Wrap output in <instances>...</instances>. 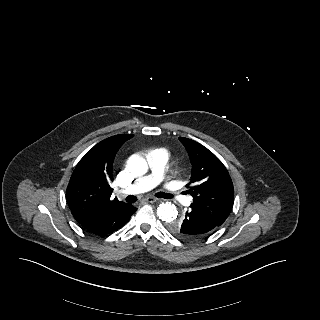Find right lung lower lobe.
<instances>
[{
	"label": "right lung lower lobe",
	"mask_w": 320,
	"mask_h": 320,
	"mask_svg": "<svg viewBox=\"0 0 320 320\" xmlns=\"http://www.w3.org/2000/svg\"><path fill=\"white\" fill-rule=\"evenodd\" d=\"M136 210L137 209L133 205L125 203L124 205L98 214L85 222L80 223V225L83 230L90 234L104 236L123 227Z\"/></svg>",
	"instance_id": "obj_1"
}]
</instances>
